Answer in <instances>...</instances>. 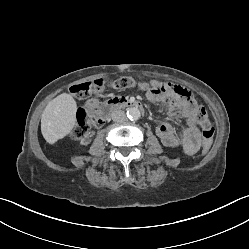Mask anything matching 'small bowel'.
Returning <instances> with one entry per match:
<instances>
[{
  "mask_svg": "<svg viewBox=\"0 0 249 249\" xmlns=\"http://www.w3.org/2000/svg\"><path fill=\"white\" fill-rule=\"evenodd\" d=\"M149 97L156 100H168L171 117L186 126L175 129L170 123L157 127V135L164 145L182 147L187 155H194L201 143L200 132L196 126V114L200 108L192 93L181 85L171 82L152 81Z\"/></svg>",
  "mask_w": 249,
  "mask_h": 249,
  "instance_id": "c3829d8e",
  "label": "small bowel"
}]
</instances>
